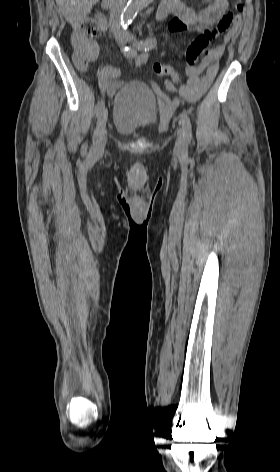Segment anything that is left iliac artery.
I'll return each instance as SVG.
<instances>
[{"label":"left iliac artery","mask_w":280,"mask_h":472,"mask_svg":"<svg viewBox=\"0 0 280 472\" xmlns=\"http://www.w3.org/2000/svg\"><path fill=\"white\" fill-rule=\"evenodd\" d=\"M156 39L155 38H147L143 41H140L139 43L136 44V47L139 49V50H143V51H149L151 50L152 48L155 47L156 45ZM172 79L175 83H178L179 81V74L177 72H174L173 73V76H172ZM180 121L182 123V127H183V131H184V136L185 138L190 141L192 139V125H191V121H190V118L189 116L187 115V113L183 112L181 115H180Z\"/></svg>","instance_id":"1"}]
</instances>
